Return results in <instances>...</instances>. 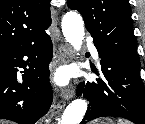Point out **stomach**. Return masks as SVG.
<instances>
[{"label":"stomach","instance_id":"obj_1","mask_svg":"<svg viewBox=\"0 0 145 124\" xmlns=\"http://www.w3.org/2000/svg\"><path fill=\"white\" fill-rule=\"evenodd\" d=\"M96 124H112L111 122H101V123H96Z\"/></svg>","mask_w":145,"mask_h":124}]
</instances>
